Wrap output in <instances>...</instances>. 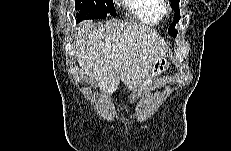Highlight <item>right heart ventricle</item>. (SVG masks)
Listing matches in <instances>:
<instances>
[{
    "label": "right heart ventricle",
    "mask_w": 231,
    "mask_h": 151,
    "mask_svg": "<svg viewBox=\"0 0 231 151\" xmlns=\"http://www.w3.org/2000/svg\"><path fill=\"white\" fill-rule=\"evenodd\" d=\"M125 3L131 15L141 24L159 23L165 13L162 0H128Z\"/></svg>",
    "instance_id": "right-heart-ventricle-1"
}]
</instances>
